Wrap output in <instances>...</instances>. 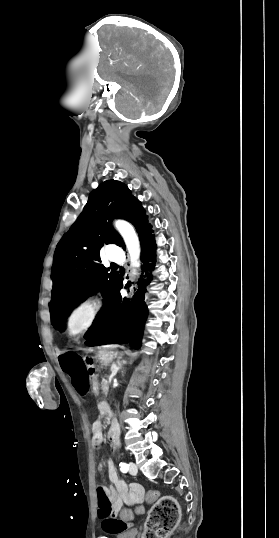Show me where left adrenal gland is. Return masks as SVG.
I'll use <instances>...</instances> for the list:
<instances>
[{"instance_id":"1","label":"left adrenal gland","mask_w":279,"mask_h":538,"mask_svg":"<svg viewBox=\"0 0 279 538\" xmlns=\"http://www.w3.org/2000/svg\"><path fill=\"white\" fill-rule=\"evenodd\" d=\"M116 364H118L117 368H121L122 364H121V358H117L116 360Z\"/></svg>"}]
</instances>
